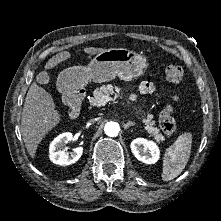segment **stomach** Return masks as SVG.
Returning <instances> with one entry per match:
<instances>
[{"mask_svg": "<svg viewBox=\"0 0 221 221\" xmlns=\"http://www.w3.org/2000/svg\"><path fill=\"white\" fill-rule=\"evenodd\" d=\"M148 67L145 56L126 48H111L98 53L88 66H73L63 70L59 79L71 88H79L92 80L108 82L118 77L132 81L142 76Z\"/></svg>", "mask_w": 221, "mask_h": 221, "instance_id": "0dacf381", "label": "stomach"}]
</instances>
